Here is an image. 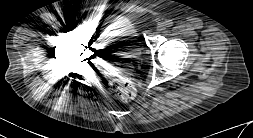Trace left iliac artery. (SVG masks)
<instances>
[{
  "instance_id": "left-iliac-artery-1",
  "label": "left iliac artery",
  "mask_w": 253,
  "mask_h": 138,
  "mask_svg": "<svg viewBox=\"0 0 253 138\" xmlns=\"http://www.w3.org/2000/svg\"><path fill=\"white\" fill-rule=\"evenodd\" d=\"M165 25H166V27H171L173 25V21L172 20H167Z\"/></svg>"
}]
</instances>
